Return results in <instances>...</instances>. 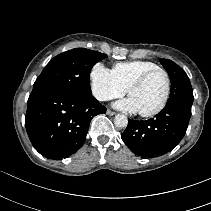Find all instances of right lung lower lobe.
<instances>
[{
  "label": "right lung lower lobe",
  "mask_w": 211,
  "mask_h": 211,
  "mask_svg": "<svg viewBox=\"0 0 211 211\" xmlns=\"http://www.w3.org/2000/svg\"><path fill=\"white\" fill-rule=\"evenodd\" d=\"M106 112L92 95L79 97L57 90L32 91L25 127L34 148L48 159L61 160L84 143L91 119Z\"/></svg>",
  "instance_id": "obj_1"
}]
</instances>
